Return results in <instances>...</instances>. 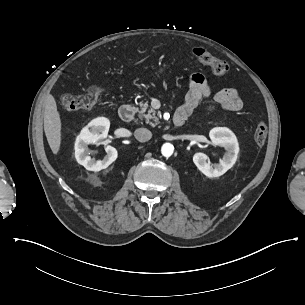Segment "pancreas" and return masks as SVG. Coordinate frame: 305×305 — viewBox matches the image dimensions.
<instances>
[{
	"mask_svg": "<svg viewBox=\"0 0 305 305\" xmlns=\"http://www.w3.org/2000/svg\"><path fill=\"white\" fill-rule=\"evenodd\" d=\"M139 106L141 108H137V112L140 119L145 118V121L153 127L161 124L158 118L160 113L152 108L148 110V102L139 103Z\"/></svg>",
	"mask_w": 305,
	"mask_h": 305,
	"instance_id": "pancreas-1",
	"label": "pancreas"
}]
</instances>
